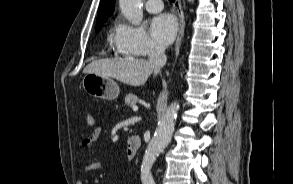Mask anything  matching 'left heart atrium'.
Listing matches in <instances>:
<instances>
[{"label":"left heart atrium","instance_id":"obj_1","mask_svg":"<svg viewBox=\"0 0 293 184\" xmlns=\"http://www.w3.org/2000/svg\"><path fill=\"white\" fill-rule=\"evenodd\" d=\"M177 32V22L170 14L155 17L150 24V34L161 46L170 44Z\"/></svg>","mask_w":293,"mask_h":184}]
</instances>
